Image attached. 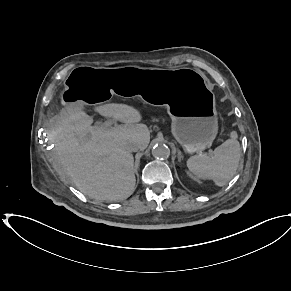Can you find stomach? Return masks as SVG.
Returning a JSON list of instances; mask_svg holds the SVG:
<instances>
[{
  "instance_id": "1",
  "label": "stomach",
  "mask_w": 291,
  "mask_h": 291,
  "mask_svg": "<svg viewBox=\"0 0 291 291\" xmlns=\"http://www.w3.org/2000/svg\"><path fill=\"white\" fill-rule=\"evenodd\" d=\"M66 85L61 96L65 107L99 103L109 95H138L149 102L165 104L173 119L172 134L187 153L209 147L218 132L215 96L198 70L137 66L99 69L82 65L70 73Z\"/></svg>"
}]
</instances>
